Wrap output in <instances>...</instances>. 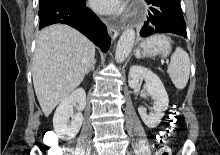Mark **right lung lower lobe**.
I'll return each instance as SVG.
<instances>
[{
  "instance_id": "98d812e1",
  "label": "right lung lower lobe",
  "mask_w": 220,
  "mask_h": 155,
  "mask_svg": "<svg viewBox=\"0 0 220 155\" xmlns=\"http://www.w3.org/2000/svg\"><path fill=\"white\" fill-rule=\"evenodd\" d=\"M39 29L54 23L72 26L106 52L111 44L106 26L88 8L86 0H61L39 8Z\"/></svg>"
}]
</instances>
